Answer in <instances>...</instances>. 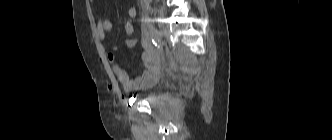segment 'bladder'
Segmentation results:
<instances>
[{
    "label": "bladder",
    "instance_id": "obj_1",
    "mask_svg": "<svg viewBox=\"0 0 332 140\" xmlns=\"http://www.w3.org/2000/svg\"><path fill=\"white\" fill-rule=\"evenodd\" d=\"M158 84V79L152 78V80L143 88L145 91L152 90Z\"/></svg>",
    "mask_w": 332,
    "mask_h": 140
}]
</instances>
